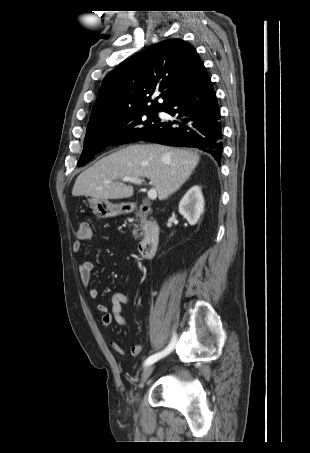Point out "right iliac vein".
Returning <instances> with one entry per match:
<instances>
[{"instance_id": "obj_1", "label": "right iliac vein", "mask_w": 310, "mask_h": 453, "mask_svg": "<svg viewBox=\"0 0 310 453\" xmlns=\"http://www.w3.org/2000/svg\"><path fill=\"white\" fill-rule=\"evenodd\" d=\"M153 370H154V366L153 365H150V366H147L143 372H142V376H141V383H140V388H142L144 386V384L146 383V381L148 380V378L151 376V374L153 373Z\"/></svg>"}]
</instances>
